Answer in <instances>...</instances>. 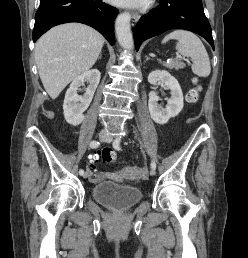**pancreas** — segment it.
Segmentation results:
<instances>
[{
	"label": "pancreas",
	"instance_id": "1",
	"mask_svg": "<svg viewBox=\"0 0 248 258\" xmlns=\"http://www.w3.org/2000/svg\"><path fill=\"white\" fill-rule=\"evenodd\" d=\"M163 65L169 69H176V70L183 69L185 67V64L178 60H173L168 63H164Z\"/></svg>",
	"mask_w": 248,
	"mask_h": 258
}]
</instances>
